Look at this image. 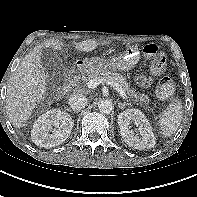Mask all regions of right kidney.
Masks as SVG:
<instances>
[{
    "instance_id": "1",
    "label": "right kidney",
    "mask_w": 197,
    "mask_h": 197,
    "mask_svg": "<svg viewBox=\"0 0 197 197\" xmlns=\"http://www.w3.org/2000/svg\"><path fill=\"white\" fill-rule=\"evenodd\" d=\"M73 126L74 121L68 113L59 109L49 110L34 123L31 138L40 147L52 148L70 136Z\"/></svg>"
}]
</instances>
